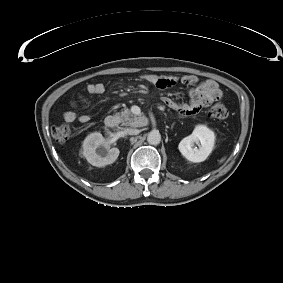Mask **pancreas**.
I'll list each match as a JSON object with an SVG mask.
<instances>
[{"instance_id": "cf45deb5", "label": "pancreas", "mask_w": 283, "mask_h": 283, "mask_svg": "<svg viewBox=\"0 0 283 283\" xmlns=\"http://www.w3.org/2000/svg\"><path fill=\"white\" fill-rule=\"evenodd\" d=\"M115 116L119 118L123 126H131V127L140 126L139 124L140 117H137L134 114H132L130 109L126 107L120 113H117Z\"/></svg>"}]
</instances>
